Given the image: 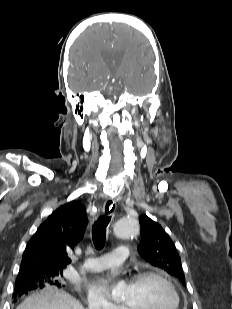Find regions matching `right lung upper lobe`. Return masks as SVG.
I'll return each instance as SVG.
<instances>
[{"label":"right lung upper lobe","mask_w":232,"mask_h":309,"mask_svg":"<svg viewBox=\"0 0 232 309\" xmlns=\"http://www.w3.org/2000/svg\"><path fill=\"white\" fill-rule=\"evenodd\" d=\"M87 224L86 209L77 200L59 207L28 242L20 270H63L71 262L67 251L83 238Z\"/></svg>","instance_id":"1"}]
</instances>
